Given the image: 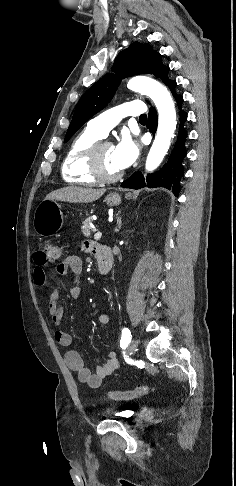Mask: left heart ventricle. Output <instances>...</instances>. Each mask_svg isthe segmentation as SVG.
I'll list each match as a JSON object with an SVG mask.
<instances>
[{
  "label": "left heart ventricle",
  "instance_id": "b2bd125f",
  "mask_svg": "<svg viewBox=\"0 0 236 486\" xmlns=\"http://www.w3.org/2000/svg\"><path fill=\"white\" fill-rule=\"evenodd\" d=\"M101 161L104 171L109 175L117 174L121 171L114 157V147L105 145L101 150Z\"/></svg>",
  "mask_w": 236,
  "mask_h": 486
}]
</instances>
